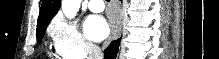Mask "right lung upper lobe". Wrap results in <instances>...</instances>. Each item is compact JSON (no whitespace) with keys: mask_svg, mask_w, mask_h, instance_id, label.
Instances as JSON below:
<instances>
[{"mask_svg":"<svg viewBox=\"0 0 219 59\" xmlns=\"http://www.w3.org/2000/svg\"><path fill=\"white\" fill-rule=\"evenodd\" d=\"M61 0H43L37 20V29L47 26L60 9Z\"/></svg>","mask_w":219,"mask_h":59,"instance_id":"cb5924a9","label":"right lung upper lobe"}]
</instances>
